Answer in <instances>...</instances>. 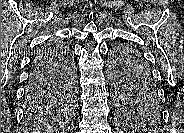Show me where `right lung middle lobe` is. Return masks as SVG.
<instances>
[{"mask_svg": "<svg viewBox=\"0 0 184 133\" xmlns=\"http://www.w3.org/2000/svg\"><path fill=\"white\" fill-rule=\"evenodd\" d=\"M54 52L59 55L60 65L55 72L53 86H51L45 94L41 95L39 99H30L25 97V109L29 117H35L59 107H72L74 104V87H75V69L71 56L59 42H52Z\"/></svg>", "mask_w": 184, "mask_h": 133, "instance_id": "obj_1", "label": "right lung middle lobe"}]
</instances>
